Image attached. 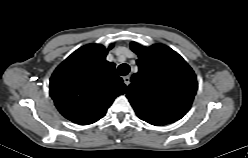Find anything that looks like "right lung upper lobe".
I'll use <instances>...</instances> for the list:
<instances>
[{
    "label": "right lung upper lobe",
    "mask_w": 248,
    "mask_h": 158,
    "mask_svg": "<svg viewBox=\"0 0 248 158\" xmlns=\"http://www.w3.org/2000/svg\"><path fill=\"white\" fill-rule=\"evenodd\" d=\"M112 47L83 46L53 72L49 93L65 118L80 125L92 124L106 114L117 96L126 92L115 64L106 60Z\"/></svg>",
    "instance_id": "1"
}]
</instances>
